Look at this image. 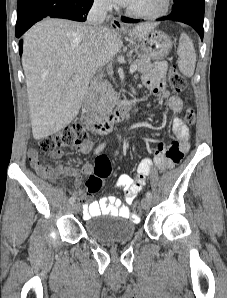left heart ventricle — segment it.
I'll use <instances>...</instances> for the list:
<instances>
[{
    "label": "left heart ventricle",
    "instance_id": "obj_1",
    "mask_svg": "<svg viewBox=\"0 0 227 298\" xmlns=\"http://www.w3.org/2000/svg\"><path fill=\"white\" fill-rule=\"evenodd\" d=\"M162 0H133L129 8L142 11V12H153L161 7Z\"/></svg>",
    "mask_w": 227,
    "mask_h": 298
}]
</instances>
